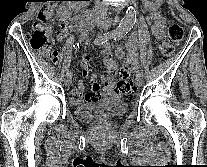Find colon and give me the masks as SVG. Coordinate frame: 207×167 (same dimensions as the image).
<instances>
[{"instance_id": "1", "label": "colon", "mask_w": 207, "mask_h": 167, "mask_svg": "<svg viewBox=\"0 0 207 167\" xmlns=\"http://www.w3.org/2000/svg\"><path fill=\"white\" fill-rule=\"evenodd\" d=\"M53 7L48 6L40 10L38 20L33 24L30 35L31 46L44 52L52 61H57L58 53L53 50L51 38V27L53 25ZM184 37L183 28L177 23H170L168 37L160 44V52L163 58H170L174 53L175 46H178ZM118 92L128 95L134 92L135 87L129 76L121 70L120 79L117 84Z\"/></svg>"}]
</instances>
